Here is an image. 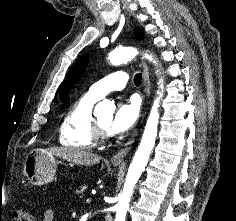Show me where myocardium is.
<instances>
[{
	"instance_id": "1",
	"label": "myocardium",
	"mask_w": 236,
	"mask_h": 221,
	"mask_svg": "<svg viewBox=\"0 0 236 221\" xmlns=\"http://www.w3.org/2000/svg\"><path fill=\"white\" fill-rule=\"evenodd\" d=\"M92 125H93V134H94L96 141H98V140L104 141L105 139H107V137H108L107 130H105L100 125L97 118L93 117Z\"/></svg>"
}]
</instances>
